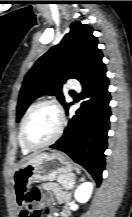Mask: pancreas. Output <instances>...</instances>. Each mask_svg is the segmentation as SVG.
<instances>
[{
	"mask_svg": "<svg viewBox=\"0 0 132 217\" xmlns=\"http://www.w3.org/2000/svg\"><path fill=\"white\" fill-rule=\"evenodd\" d=\"M56 180L65 190H70L72 189L70 184L75 183V176L73 174H60L57 176Z\"/></svg>",
	"mask_w": 132,
	"mask_h": 217,
	"instance_id": "1",
	"label": "pancreas"
}]
</instances>
